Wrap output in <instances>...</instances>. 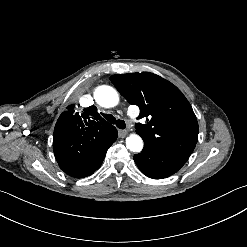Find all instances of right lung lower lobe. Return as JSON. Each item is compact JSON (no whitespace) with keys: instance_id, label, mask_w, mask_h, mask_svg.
<instances>
[{"instance_id":"obj_1","label":"right lung lower lobe","mask_w":247,"mask_h":247,"mask_svg":"<svg viewBox=\"0 0 247 247\" xmlns=\"http://www.w3.org/2000/svg\"><path fill=\"white\" fill-rule=\"evenodd\" d=\"M109 147L80 161L67 162L57 160V162L60 168L69 176L75 178H84L93 174L97 169L100 168Z\"/></svg>"}]
</instances>
